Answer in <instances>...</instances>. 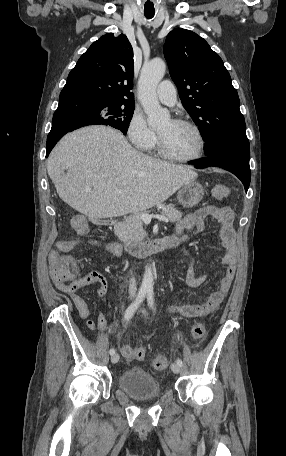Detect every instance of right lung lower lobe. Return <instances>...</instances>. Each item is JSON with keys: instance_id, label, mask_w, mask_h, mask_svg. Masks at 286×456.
<instances>
[{"instance_id": "98d812e1", "label": "right lung lower lobe", "mask_w": 286, "mask_h": 456, "mask_svg": "<svg viewBox=\"0 0 286 456\" xmlns=\"http://www.w3.org/2000/svg\"><path fill=\"white\" fill-rule=\"evenodd\" d=\"M88 99V95L76 90H62L59 105L53 115L52 128L47 137L46 157L67 132L77 129L79 107Z\"/></svg>"}]
</instances>
